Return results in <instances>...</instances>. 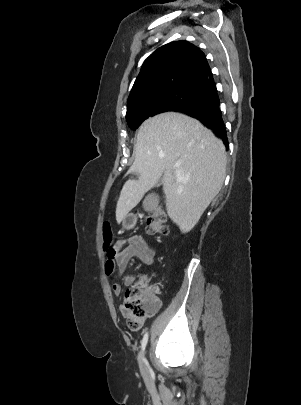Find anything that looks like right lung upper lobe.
I'll return each mask as SVG.
<instances>
[{
    "label": "right lung upper lobe",
    "instance_id": "right-lung-upper-lobe-1",
    "mask_svg": "<svg viewBox=\"0 0 301 405\" xmlns=\"http://www.w3.org/2000/svg\"><path fill=\"white\" fill-rule=\"evenodd\" d=\"M178 87L217 94L204 53L187 41L168 43L145 60L130 92L127 111L146 96Z\"/></svg>",
    "mask_w": 301,
    "mask_h": 405
}]
</instances>
